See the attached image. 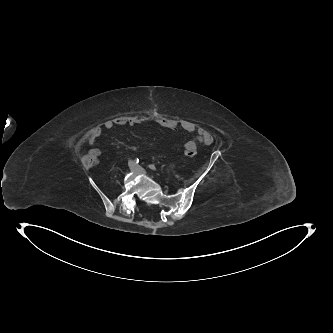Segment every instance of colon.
Listing matches in <instances>:
<instances>
[{"instance_id": "5ec220e1", "label": "colon", "mask_w": 333, "mask_h": 333, "mask_svg": "<svg viewBox=\"0 0 333 333\" xmlns=\"http://www.w3.org/2000/svg\"><path fill=\"white\" fill-rule=\"evenodd\" d=\"M184 156L185 157H192V158H197L198 157V152L197 151H191V150H185L184 151ZM96 156H94L92 153H89L85 155L82 158V163L85 166H93L96 163Z\"/></svg>"}]
</instances>
